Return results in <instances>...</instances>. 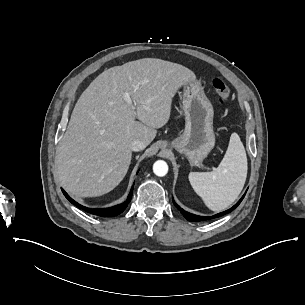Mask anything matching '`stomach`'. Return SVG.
Masks as SVG:
<instances>
[{
  "label": "stomach",
  "mask_w": 305,
  "mask_h": 305,
  "mask_svg": "<svg viewBox=\"0 0 305 305\" xmlns=\"http://www.w3.org/2000/svg\"><path fill=\"white\" fill-rule=\"evenodd\" d=\"M182 97L185 130L180 137L173 140L172 146L185 154L190 164L195 166L214 148V109L198 80L183 84Z\"/></svg>",
  "instance_id": "0dacf381"
}]
</instances>
